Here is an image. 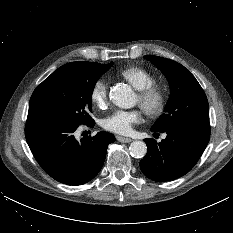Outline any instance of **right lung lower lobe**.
Masks as SVG:
<instances>
[{"label":"right lung lower lobe","mask_w":233,"mask_h":233,"mask_svg":"<svg viewBox=\"0 0 233 233\" xmlns=\"http://www.w3.org/2000/svg\"><path fill=\"white\" fill-rule=\"evenodd\" d=\"M79 125L48 117H27L25 136L35 159L55 180L82 185L93 179L103 166L106 150L114 135L97 133L77 141Z\"/></svg>","instance_id":"1"}]
</instances>
